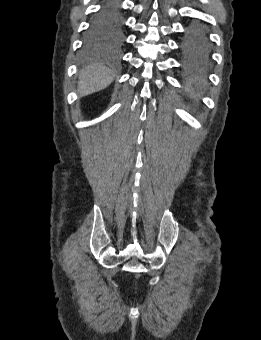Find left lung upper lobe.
Instances as JSON below:
<instances>
[{
    "label": "left lung upper lobe",
    "instance_id": "obj_1",
    "mask_svg": "<svg viewBox=\"0 0 261 340\" xmlns=\"http://www.w3.org/2000/svg\"><path fill=\"white\" fill-rule=\"evenodd\" d=\"M185 46L192 52L206 54L209 51V40L205 28L193 24L189 28Z\"/></svg>",
    "mask_w": 261,
    "mask_h": 340
}]
</instances>
